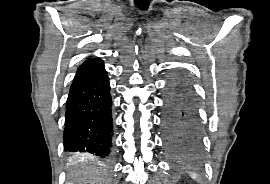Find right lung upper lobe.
I'll return each instance as SVG.
<instances>
[{"instance_id":"cb5924a9","label":"right lung upper lobe","mask_w":270,"mask_h":184,"mask_svg":"<svg viewBox=\"0 0 270 184\" xmlns=\"http://www.w3.org/2000/svg\"><path fill=\"white\" fill-rule=\"evenodd\" d=\"M93 59H96V58H93ZM88 60H92V59H88ZM88 60H86V61H88Z\"/></svg>"}]
</instances>
